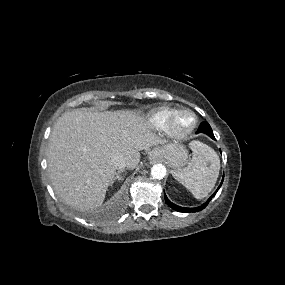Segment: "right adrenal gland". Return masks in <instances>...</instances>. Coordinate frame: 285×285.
Segmentation results:
<instances>
[{"instance_id": "obj_1", "label": "right adrenal gland", "mask_w": 285, "mask_h": 285, "mask_svg": "<svg viewBox=\"0 0 285 285\" xmlns=\"http://www.w3.org/2000/svg\"><path fill=\"white\" fill-rule=\"evenodd\" d=\"M122 172H124L123 169H122V170H119V171L117 172L116 177H115L114 180L112 181L111 185H113V183H114L115 181H117V180H118V182H121V181L123 180V177L121 176V173H122Z\"/></svg>"}]
</instances>
